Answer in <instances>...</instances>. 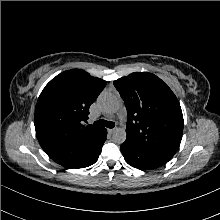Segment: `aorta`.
<instances>
[{
    "label": "aorta",
    "mask_w": 220,
    "mask_h": 220,
    "mask_svg": "<svg viewBox=\"0 0 220 220\" xmlns=\"http://www.w3.org/2000/svg\"><path fill=\"white\" fill-rule=\"evenodd\" d=\"M98 102L101 108L108 112L115 111L118 107L117 99L110 93H102L98 98ZM112 138L118 144L123 143L126 140L125 128L118 127L114 129Z\"/></svg>",
    "instance_id": "762f6f07"
}]
</instances>
